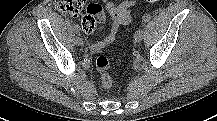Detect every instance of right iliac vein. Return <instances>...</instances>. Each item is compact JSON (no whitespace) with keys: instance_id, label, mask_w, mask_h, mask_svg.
<instances>
[{"instance_id":"63e3f726","label":"right iliac vein","mask_w":217,"mask_h":121,"mask_svg":"<svg viewBox=\"0 0 217 121\" xmlns=\"http://www.w3.org/2000/svg\"><path fill=\"white\" fill-rule=\"evenodd\" d=\"M76 43H77L79 46H83V45H84V41H83L82 38H80V37H77V38H76Z\"/></svg>"}]
</instances>
